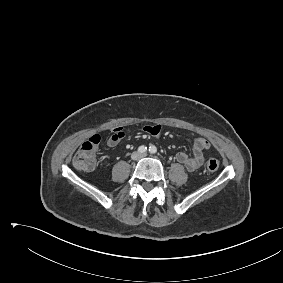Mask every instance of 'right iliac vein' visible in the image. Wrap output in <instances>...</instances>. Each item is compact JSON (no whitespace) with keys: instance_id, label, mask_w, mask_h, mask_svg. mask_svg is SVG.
I'll return each instance as SVG.
<instances>
[{"instance_id":"1","label":"right iliac vein","mask_w":283,"mask_h":283,"mask_svg":"<svg viewBox=\"0 0 283 283\" xmlns=\"http://www.w3.org/2000/svg\"><path fill=\"white\" fill-rule=\"evenodd\" d=\"M140 158V154L138 153V152H134L133 154H132V159L133 160H138Z\"/></svg>"}]
</instances>
